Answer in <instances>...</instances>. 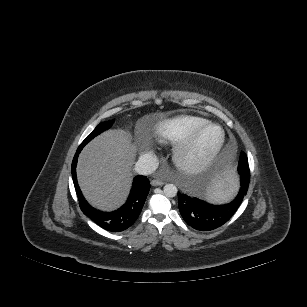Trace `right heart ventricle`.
Wrapping results in <instances>:
<instances>
[{
    "mask_svg": "<svg viewBox=\"0 0 307 307\" xmlns=\"http://www.w3.org/2000/svg\"><path fill=\"white\" fill-rule=\"evenodd\" d=\"M206 123H208L206 118L192 115L166 119L155 127L154 137L159 142L180 143Z\"/></svg>",
    "mask_w": 307,
    "mask_h": 307,
    "instance_id": "obj_1",
    "label": "right heart ventricle"
}]
</instances>
